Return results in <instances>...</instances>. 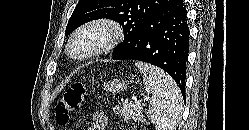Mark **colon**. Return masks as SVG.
<instances>
[{
  "label": "colon",
  "instance_id": "colon-1",
  "mask_svg": "<svg viewBox=\"0 0 249 130\" xmlns=\"http://www.w3.org/2000/svg\"><path fill=\"white\" fill-rule=\"evenodd\" d=\"M87 88L81 82L73 83L62 95L55 108L56 121L64 126L69 123L71 114L79 108Z\"/></svg>",
  "mask_w": 249,
  "mask_h": 130
}]
</instances>
